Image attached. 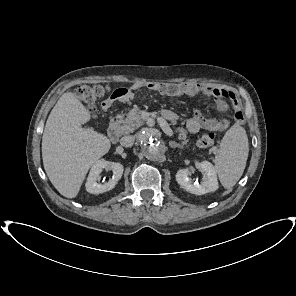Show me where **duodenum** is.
<instances>
[{
	"label": "duodenum",
	"mask_w": 296,
	"mask_h": 296,
	"mask_svg": "<svg viewBox=\"0 0 296 296\" xmlns=\"http://www.w3.org/2000/svg\"><path fill=\"white\" fill-rule=\"evenodd\" d=\"M108 136L112 142H116L120 137L119 125L116 121H112L108 127Z\"/></svg>",
	"instance_id": "1"
}]
</instances>
